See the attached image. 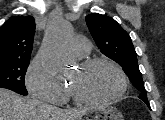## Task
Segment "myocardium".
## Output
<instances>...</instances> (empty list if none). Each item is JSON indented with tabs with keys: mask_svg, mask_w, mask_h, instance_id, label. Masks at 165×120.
Wrapping results in <instances>:
<instances>
[{
	"mask_svg": "<svg viewBox=\"0 0 165 120\" xmlns=\"http://www.w3.org/2000/svg\"><path fill=\"white\" fill-rule=\"evenodd\" d=\"M99 64L109 65L116 70V72L118 73L120 77V82H121L119 90L115 94L109 97L94 99V98H89V97L84 96L83 94L80 93V91L76 87L70 85L69 91L77 102H80L83 104H105V103L113 102L121 98L125 94L128 87V79L122 67L115 61L108 58H104V57H96V58H91V59H87L83 61L80 64L79 68L85 71Z\"/></svg>",
	"mask_w": 165,
	"mask_h": 120,
	"instance_id": "f54148a6",
	"label": "myocardium"
}]
</instances>
